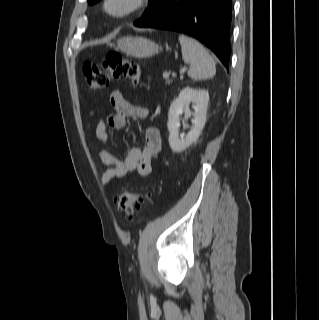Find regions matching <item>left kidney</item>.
Masks as SVG:
<instances>
[{"label": "left kidney", "instance_id": "5707ae66", "mask_svg": "<svg viewBox=\"0 0 319 320\" xmlns=\"http://www.w3.org/2000/svg\"><path fill=\"white\" fill-rule=\"evenodd\" d=\"M209 93L202 89L185 87L178 97L173 100L168 112L169 145L173 152H182L192 145L200 136L206 122ZM193 103L194 112L190 111L189 105ZM184 113L185 119L193 116V127L184 137L179 134L180 115Z\"/></svg>", "mask_w": 319, "mask_h": 320}]
</instances>
